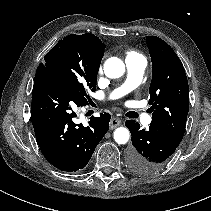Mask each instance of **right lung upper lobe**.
Wrapping results in <instances>:
<instances>
[{
    "instance_id": "right-lung-upper-lobe-1",
    "label": "right lung upper lobe",
    "mask_w": 211,
    "mask_h": 211,
    "mask_svg": "<svg viewBox=\"0 0 211 211\" xmlns=\"http://www.w3.org/2000/svg\"><path fill=\"white\" fill-rule=\"evenodd\" d=\"M80 39L88 42L91 44L99 53L100 57L102 58L104 55L105 44L101 42V40L93 34L86 33L82 35H78Z\"/></svg>"
}]
</instances>
